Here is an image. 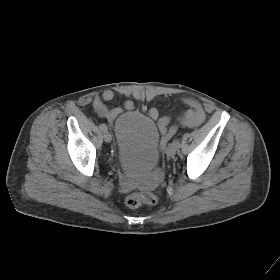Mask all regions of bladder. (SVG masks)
I'll return each instance as SVG.
<instances>
[{
    "instance_id": "bladder-1",
    "label": "bladder",
    "mask_w": 280,
    "mask_h": 280,
    "mask_svg": "<svg viewBox=\"0 0 280 280\" xmlns=\"http://www.w3.org/2000/svg\"><path fill=\"white\" fill-rule=\"evenodd\" d=\"M114 131L118 161L125 172L145 174L157 165L160 132L153 119L129 111L117 118Z\"/></svg>"
}]
</instances>
